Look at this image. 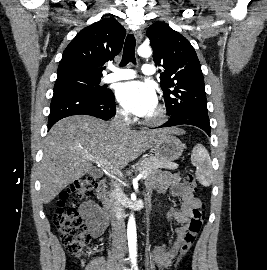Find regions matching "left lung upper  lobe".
Segmentation results:
<instances>
[{"instance_id":"obj_1","label":"left lung upper lobe","mask_w":267,"mask_h":270,"mask_svg":"<svg viewBox=\"0 0 267 270\" xmlns=\"http://www.w3.org/2000/svg\"><path fill=\"white\" fill-rule=\"evenodd\" d=\"M147 36L155 64L164 68L160 84L167 113L171 116L190 111L208 114L203 73L190 42L163 22L152 24Z\"/></svg>"}]
</instances>
